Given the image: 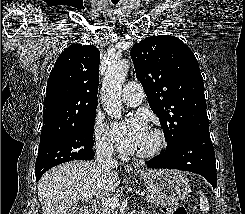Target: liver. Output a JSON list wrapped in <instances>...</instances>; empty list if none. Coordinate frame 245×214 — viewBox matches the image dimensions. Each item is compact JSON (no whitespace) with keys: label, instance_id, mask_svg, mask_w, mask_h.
Here are the masks:
<instances>
[{"label":"liver","instance_id":"obj_1","mask_svg":"<svg viewBox=\"0 0 245 214\" xmlns=\"http://www.w3.org/2000/svg\"><path fill=\"white\" fill-rule=\"evenodd\" d=\"M116 167L74 161L50 169L38 183L43 214H66L87 194L110 196L120 184Z\"/></svg>","mask_w":245,"mask_h":214}]
</instances>
